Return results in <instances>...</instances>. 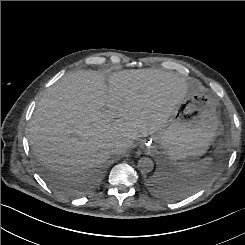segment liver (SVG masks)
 Returning a JSON list of instances; mask_svg holds the SVG:
<instances>
[{
    "instance_id": "liver-1",
    "label": "liver",
    "mask_w": 245,
    "mask_h": 245,
    "mask_svg": "<svg viewBox=\"0 0 245 245\" xmlns=\"http://www.w3.org/2000/svg\"><path fill=\"white\" fill-rule=\"evenodd\" d=\"M190 83L155 69L110 75L76 71L49 87L29 124V143L36 158L55 170L79 174L99 166L113 148L163 129Z\"/></svg>"
}]
</instances>
